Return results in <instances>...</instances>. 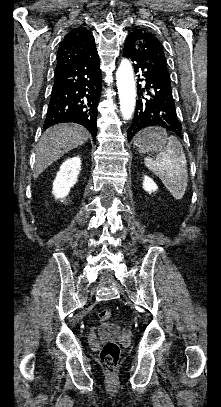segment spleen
Segmentation results:
<instances>
[{
	"label": "spleen",
	"mask_w": 221,
	"mask_h": 407,
	"mask_svg": "<svg viewBox=\"0 0 221 407\" xmlns=\"http://www.w3.org/2000/svg\"><path fill=\"white\" fill-rule=\"evenodd\" d=\"M156 158L146 157L145 166L157 175L172 196L182 199L188 182L187 161L180 141L170 136Z\"/></svg>",
	"instance_id": "spleen-1"
}]
</instances>
